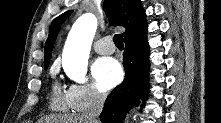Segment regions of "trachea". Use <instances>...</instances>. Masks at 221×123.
Instances as JSON below:
<instances>
[{
  "mask_svg": "<svg viewBox=\"0 0 221 123\" xmlns=\"http://www.w3.org/2000/svg\"><path fill=\"white\" fill-rule=\"evenodd\" d=\"M113 41H114L115 45H116L118 48H123V47H124L122 35H120V34L114 35Z\"/></svg>",
  "mask_w": 221,
  "mask_h": 123,
  "instance_id": "1",
  "label": "trachea"
}]
</instances>
